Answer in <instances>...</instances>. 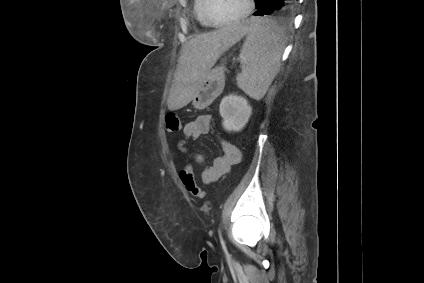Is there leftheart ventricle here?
Returning a JSON list of instances; mask_svg holds the SVG:
<instances>
[{"mask_svg":"<svg viewBox=\"0 0 424 283\" xmlns=\"http://www.w3.org/2000/svg\"><path fill=\"white\" fill-rule=\"evenodd\" d=\"M247 8V0H212L210 14L215 21L224 22L237 18Z\"/></svg>","mask_w":424,"mask_h":283,"instance_id":"1","label":"left heart ventricle"}]
</instances>
